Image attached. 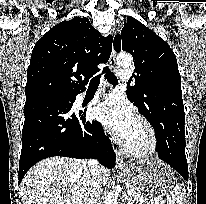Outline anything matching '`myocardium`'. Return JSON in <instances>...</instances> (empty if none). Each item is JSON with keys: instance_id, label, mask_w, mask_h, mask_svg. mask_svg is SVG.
<instances>
[{"instance_id": "f54148a6", "label": "myocardium", "mask_w": 206, "mask_h": 204, "mask_svg": "<svg viewBox=\"0 0 206 204\" xmlns=\"http://www.w3.org/2000/svg\"><path fill=\"white\" fill-rule=\"evenodd\" d=\"M137 121L143 126L147 142L142 148H132L126 141L123 143L124 152L132 157L145 158L153 155L159 146V139L153 124L144 116L139 115Z\"/></svg>"}]
</instances>
